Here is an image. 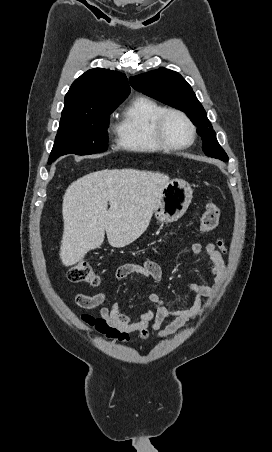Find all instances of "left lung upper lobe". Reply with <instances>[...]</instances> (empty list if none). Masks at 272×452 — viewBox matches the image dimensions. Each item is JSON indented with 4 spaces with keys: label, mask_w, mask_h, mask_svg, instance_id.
Wrapping results in <instances>:
<instances>
[{
    "label": "left lung upper lobe",
    "mask_w": 272,
    "mask_h": 452,
    "mask_svg": "<svg viewBox=\"0 0 272 452\" xmlns=\"http://www.w3.org/2000/svg\"><path fill=\"white\" fill-rule=\"evenodd\" d=\"M131 86L139 92L184 111L197 127L202 137L204 153L213 158L228 161V156L219 145L207 114L198 101L191 86L177 72L159 68L129 78Z\"/></svg>",
    "instance_id": "obj_1"
}]
</instances>
